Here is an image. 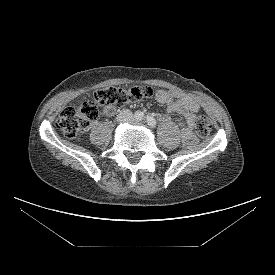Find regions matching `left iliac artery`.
<instances>
[{
  "instance_id": "obj_1",
  "label": "left iliac artery",
  "mask_w": 275,
  "mask_h": 275,
  "mask_svg": "<svg viewBox=\"0 0 275 275\" xmlns=\"http://www.w3.org/2000/svg\"><path fill=\"white\" fill-rule=\"evenodd\" d=\"M145 119H146V122L148 123L149 126H151V127H155L156 126L157 122H156V120H155L154 117L147 115L145 117Z\"/></svg>"
}]
</instances>
